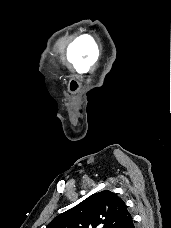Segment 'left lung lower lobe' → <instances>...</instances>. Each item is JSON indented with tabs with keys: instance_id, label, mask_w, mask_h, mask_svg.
<instances>
[{
	"instance_id": "0a47b994",
	"label": "left lung lower lobe",
	"mask_w": 171,
	"mask_h": 228,
	"mask_svg": "<svg viewBox=\"0 0 171 228\" xmlns=\"http://www.w3.org/2000/svg\"><path fill=\"white\" fill-rule=\"evenodd\" d=\"M122 228H135L132 217L125 222Z\"/></svg>"
}]
</instances>
